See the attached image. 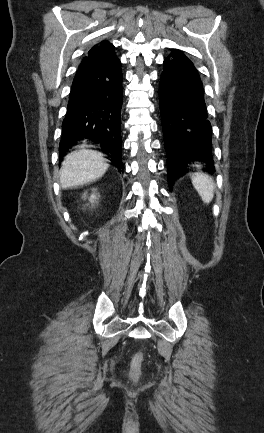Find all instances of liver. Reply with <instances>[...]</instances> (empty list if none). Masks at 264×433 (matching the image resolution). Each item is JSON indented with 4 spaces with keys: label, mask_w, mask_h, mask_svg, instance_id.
Returning a JSON list of instances; mask_svg holds the SVG:
<instances>
[{
    "label": "liver",
    "mask_w": 264,
    "mask_h": 433,
    "mask_svg": "<svg viewBox=\"0 0 264 433\" xmlns=\"http://www.w3.org/2000/svg\"><path fill=\"white\" fill-rule=\"evenodd\" d=\"M109 165L103 154L81 149L67 155L60 169V184L63 189L76 188L101 178Z\"/></svg>",
    "instance_id": "liver-1"
}]
</instances>
